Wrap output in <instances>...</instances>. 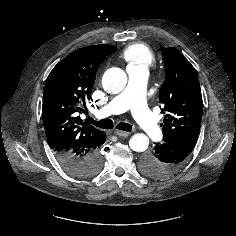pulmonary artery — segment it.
I'll list each match as a JSON object with an SVG mask.
<instances>
[{
  "mask_svg": "<svg viewBox=\"0 0 236 236\" xmlns=\"http://www.w3.org/2000/svg\"><path fill=\"white\" fill-rule=\"evenodd\" d=\"M127 73L128 84L126 88L99 110L100 116L108 117L131 110L133 117L147 135L157 140H162L161 128L145 101V88L149 76L148 69L127 68Z\"/></svg>",
  "mask_w": 236,
  "mask_h": 236,
  "instance_id": "e3ab8cb5",
  "label": "pulmonary artery"
}]
</instances>
